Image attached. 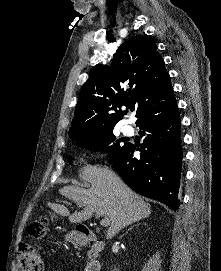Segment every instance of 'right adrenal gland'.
I'll list each match as a JSON object with an SVG mask.
<instances>
[{
	"label": "right adrenal gland",
	"instance_id": "obj_1",
	"mask_svg": "<svg viewBox=\"0 0 221 271\" xmlns=\"http://www.w3.org/2000/svg\"><path fill=\"white\" fill-rule=\"evenodd\" d=\"M136 225H140V223H136ZM143 225H146V223H143ZM130 229H132V227H130Z\"/></svg>",
	"mask_w": 221,
	"mask_h": 271
}]
</instances>
